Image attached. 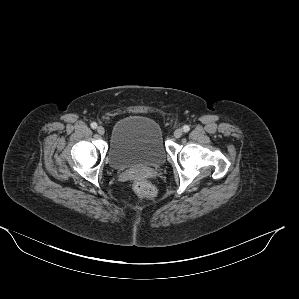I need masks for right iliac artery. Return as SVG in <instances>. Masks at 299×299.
<instances>
[{
    "instance_id": "82829eb1",
    "label": "right iliac artery",
    "mask_w": 299,
    "mask_h": 299,
    "mask_svg": "<svg viewBox=\"0 0 299 299\" xmlns=\"http://www.w3.org/2000/svg\"><path fill=\"white\" fill-rule=\"evenodd\" d=\"M91 128L96 129L97 128V123H95V122L91 123Z\"/></svg>"
}]
</instances>
